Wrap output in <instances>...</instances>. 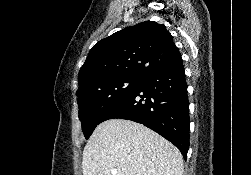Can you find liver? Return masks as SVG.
I'll use <instances>...</instances> for the list:
<instances>
[{
  "label": "liver",
  "instance_id": "6515ba94",
  "mask_svg": "<svg viewBox=\"0 0 251 175\" xmlns=\"http://www.w3.org/2000/svg\"><path fill=\"white\" fill-rule=\"evenodd\" d=\"M183 167L173 143L130 119L99 123L83 149V175H182Z\"/></svg>",
  "mask_w": 251,
  "mask_h": 175
}]
</instances>
